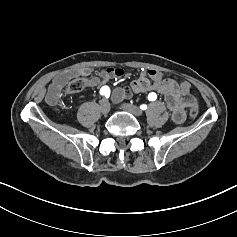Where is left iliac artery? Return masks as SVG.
<instances>
[{
  "mask_svg": "<svg viewBox=\"0 0 237 237\" xmlns=\"http://www.w3.org/2000/svg\"><path fill=\"white\" fill-rule=\"evenodd\" d=\"M156 98H157V95H156V93H154V92H151V93L148 95L149 101H155ZM140 108H141L142 110H146V109H147V106H146V105H141Z\"/></svg>",
  "mask_w": 237,
  "mask_h": 237,
  "instance_id": "obj_1",
  "label": "left iliac artery"
}]
</instances>
